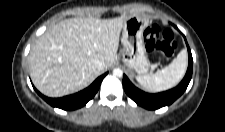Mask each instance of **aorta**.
Here are the masks:
<instances>
[{
	"label": "aorta",
	"instance_id": "762f6f07",
	"mask_svg": "<svg viewBox=\"0 0 225 132\" xmlns=\"http://www.w3.org/2000/svg\"><path fill=\"white\" fill-rule=\"evenodd\" d=\"M113 75L117 77H121L123 75V72L121 69L117 68L113 70Z\"/></svg>",
	"mask_w": 225,
	"mask_h": 132
}]
</instances>
